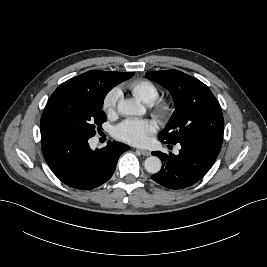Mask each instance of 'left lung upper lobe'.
I'll return each instance as SVG.
<instances>
[{
	"mask_svg": "<svg viewBox=\"0 0 267 267\" xmlns=\"http://www.w3.org/2000/svg\"><path fill=\"white\" fill-rule=\"evenodd\" d=\"M146 77L170 91L175 111L158 138L169 144L199 136L223 137L219 102L207 85L178 70L149 71Z\"/></svg>",
	"mask_w": 267,
	"mask_h": 267,
	"instance_id": "5c2ea615",
	"label": "left lung upper lobe"
}]
</instances>
